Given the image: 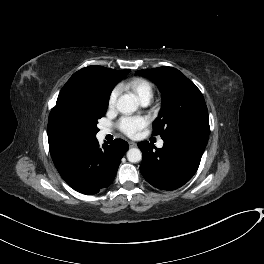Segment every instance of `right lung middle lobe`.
I'll list each match as a JSON object with an SVG mask.
<instances>
[{
	"instance_id": "obj_1",
	"label": "right lung middle lobe",
	"mask_w": 264,
	"mask_h": 264,
	"mask_svg": "<svg viewBox=\"0 0 264 264\" xmlns=\"http://www.w3.org/2000/svg\"><path fill=\"white\" fill-rule=\"evenodd\" d=\"M124 76L100 78L60 92L51 110L59 131L67 138H96L97 121L106 113L111 90Z\"/></svg>"
}]
</instances>
